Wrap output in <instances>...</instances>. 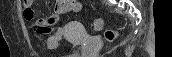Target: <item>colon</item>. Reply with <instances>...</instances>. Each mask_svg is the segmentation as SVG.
<instances>
[{
  "mask_svg": "<svg viewBox=\"0 0 172 57\" xmlns=\"http://www.w3.org/2000/svg\"><path fill=\"white\" fill-rule=\"evenodd\" d=\"M24 14H26L29 17H32L34 12L31 7H26L24 10ZM92 27L95 30H101L103 28V22L101 20H95L92 23ZM105 37L108 41H113L116 37L115 32L112 29H107L105 31Z\"/></svg>",
  "mask_w": 172,
  "mask_h": 57,
  "instance_id": "5ec220e1",
  "label": "colon"
}]
</instances>
